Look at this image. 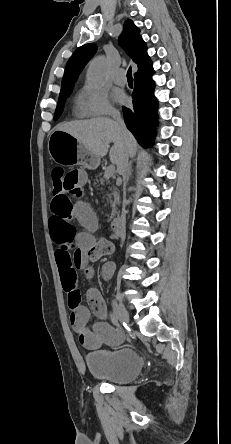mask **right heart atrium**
Returning <instances> with one entry per match:
<instances>
[{"mask_svg":"<svg viewBox=\"0 0 231 444\" xmlns=\"http://www.w3.org/2000/svg\"><path fill=\"white\" fill-rule=\"evenodd\" d=\"M77 110L83 117H106L116 114L107 93L90 85H84L80 90Z\"/></svg>","mask_w":231,"mask_h":444,"instance_id":"1","label":"right heart atrium"}]
</instances>
